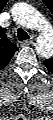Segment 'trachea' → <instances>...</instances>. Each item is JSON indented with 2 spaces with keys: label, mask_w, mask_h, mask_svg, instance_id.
<instances>
[{
  "label": "trachea",
  "mask_w": 53,
  "mask_h": 120,
  "mask_svg": "<svg viewBox=\"0 0 53 120\" xmlns=\"http://www.w3.org/2000/svg\"><path fill=\"white\" fill-rule=\"evenodd\" d=\"M17 37H18L19 41L27 40L30 38L29 35L27 34V32L22 28H18Z\"/></svg>",
  "instance_id": "trachea-1"
}]
</instances>
